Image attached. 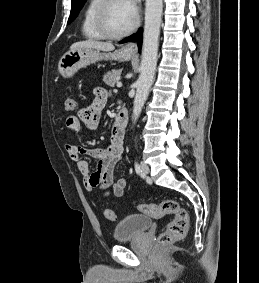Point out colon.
Here are the masks:
<instances>
[{
	"instance_id": "5ec220e1",
	"label": "colon",
	"mask_w": 259,
	"mask_h": 283,
	"mask_svg": "<svg viewBox=\"0 0 259 283\" xmlns=\"http://www.w3.org/2000/svg\"><path fill=\"white\" fill-rule=\"evenodd\" d=\"M64 103L67 112H75L78 108L77 101L72 96H67ZM138 210L154 218H161L165 215L173 216L165 230L158 236V245H169L184 238L189 217L187 211L176 200L168 199L159 203H143L138 205ZM104 215L109 221H114L116 218L111 209H105Z\"/></svg>"
}]
</instances>
